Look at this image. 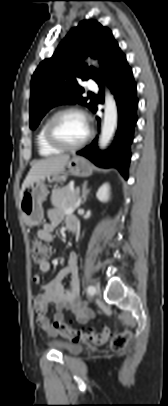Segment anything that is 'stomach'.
<instances>
[{
    "mask_svg": "<svg viewBox=\"0 0 168 406\" xmlns=\"http://www.w3.org/2000/svg\"><path fill=\"white\" fill-rule=\"evenodd\" d=\"M93 173L92 165L83 157L74 156L70 159L61 176H50L48 179L62 181L68 174L78 177H88ZM48 195L44 180H40L29 185L23 192L19 207L22 218L26 225L37 226L43 219L42 203Z\"/></svg>",
    "mask_w": 168,
    "mask_h": 406,
    "instance_id": "1",
    "label": "stomach"
}]
</instances>
